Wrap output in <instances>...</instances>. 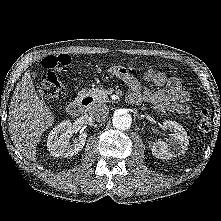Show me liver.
Returning <instances> with one entry per match:
<instances>
[{
	"label": "liver",
	"mask_w": 221,
	"mask_h": 221,
	"mask_svg": "<svg viewBox=\"0 0 221 221\" xmlns=\"http://www.w3.org/2000/svg\"><path fill=\"white\" fill-rule=\"evenodd\" d=\"M54 123L49 107L39 99L30 72L17 83L9 110L8 129L21 155L35 161L42 134Z\"/></svg>",
	"instance_id": "obj_1"
}]
</instances>
